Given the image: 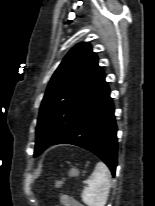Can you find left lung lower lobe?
<instances>
[{"mask_svg":"<svg viewBox=\"0 0 155 206\" xmlns=\"http://www.w3.org/2000/svg\"><path fill=\"white\" fill-rule=\"evenodd\" d=\"M117 126L109 88L79 117L73 127L53 145L72 144L96 154L110 168L117 166Z\"/></svg>","mask_w":155,"mask_h":206,"instance_id":"0a47b994","label":"left lung lower lobe"}]
</instances>
